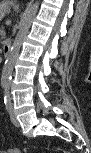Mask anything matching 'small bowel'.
Returning <instances> with one entry per match:
<instances>
[{
  "label": "small bowel",
  "instance_id": "obj_1",
  "mask_svg": "<svg viewBox=\"0 0 91 153\" xmlns=\"http://www.w3.org/2000/svg\"><path fill=\"white\" fill-rule=\"evenodd\" d=\"M7 152H9V153H17L18 150L17 149H9V150H7Z\"/></svg>",
  "mask_w": 91,
  "mask_h": 153
}]
</instances>
